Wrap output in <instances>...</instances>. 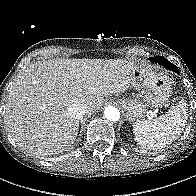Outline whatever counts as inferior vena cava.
<instances>
[{"label":"inferior vena cava","instance_id":"inferior-vena-cava-1","mask_svg":"<svg viewBox=\"0 0 196 196\" xmlns=\"http://www.w3.org/2000/svg\"><path fill=\"white\" fill-rule=\"evenodd\" d=\"M88 111V107L82 103H73L68 108V114L74 119L82 118Z\"/></svg>","mask_w":196,"mask_h":196}]
</instances>
